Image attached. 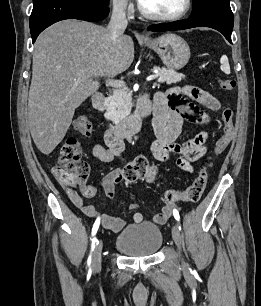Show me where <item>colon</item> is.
<instances>
[{"mask_svg":"<svg viewBox=\"0 0 261 306\" xmlns=\"http://www.w3.org/2000/svg\"><path fill=\"white\" fill-rule=\"evenodd\" d=\"M219 84L220 87L226 91H231L236 86L235 80L230 78L220 79ZM221 120L223 123V134L215 143L213 150L214 154H220L226 150L234 135L233 111L231 108L223 109ZM74 128L83 137H89L91 135V123L84 116H80L74 121ZM81 156L82 147L80 140L76 137L68 138L62 145L57 163L53 167L55 178L67 189H73V187L77 185H80L82 188L87 186L85 182L89 175V167L81 160ZM156 176V167L145 157H138L119 170L118 174L114 176V179L115 181L132 184L137 180L154 182ZM206 183L207 170L206 167H204L200 170L192 184L184 191H166L165 200L168 202H175L178 200L197 202L205 190ZM87 193L88 196H93L95 190H88Z\"/></svg>","mask_w":261,"mask_h":306,"instance_id":"5ec220e1","label":"colon"}]
</instances>
